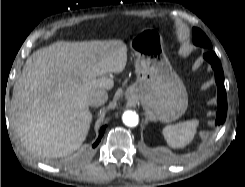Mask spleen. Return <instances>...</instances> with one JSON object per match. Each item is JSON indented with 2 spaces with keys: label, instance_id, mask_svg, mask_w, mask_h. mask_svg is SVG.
I'll return each mask as SVG.
<instances>
[{
  "label": "spleen",
  "instance_id": "1",
  "mask_svg": "<svg viewBox=\"0 0 245 187\" xmlns=\"http://www.w3.org/2000/svg\"><path fill=\"white\" fill-rule=\"evenodd\" d=\"M198 125V119L167 125L163 129V136L170 147L184 148L194 139Z\"/></svg>",
  "mask_w": 245,
  "mask_h": 187
}]
</instances>
